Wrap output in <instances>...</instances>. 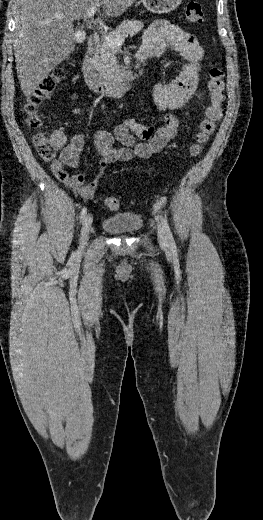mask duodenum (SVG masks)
Instances as JSON below:
<instances>
[{
  "instance_id": "obj_1",
  "label": "duodenum",
  "mask_w": 263,
  "mask_h": 520,
  "mask_svg": "<svg viewBox=\"0 0 263 520\" xmlns=\"http://www.w3.org/2000/svg\"><path fill=\"white\" fill-rule=\"evenodd\" d=\"M99 47L98 35H91L88 39L87 49L82 62V73L86 85L91 91L102 96L119 97L126 94L136 85L139 73L137 71H129L120 79H105L95 65V56L99 51ZM147 58L148 56L141 52L136 54L138 63H143Z\"/></svg>"
}]
</instances>
